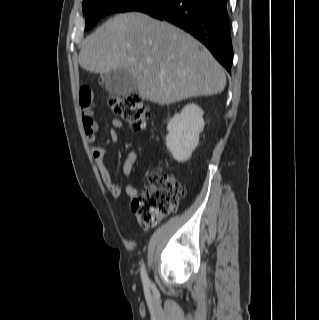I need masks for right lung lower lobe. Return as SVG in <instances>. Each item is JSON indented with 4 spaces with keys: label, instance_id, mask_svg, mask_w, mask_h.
<instances>
[{
    "label": "right lung lower lobe",
    "instance_id": "1",
    "mask_svg": "<svg viewBox=\"0 0 319 320\" xmlns=\"http://www.w3.org/2000/svg\"><path fill=\"white\" fill-rule=\"evenodd\" d=\"M226 5L227 0H158L137 11L192 34L230 72L233 49Z\"/></svg>",
    "mask_w": 319,
    "mask_h": 320
}]
</instances>
